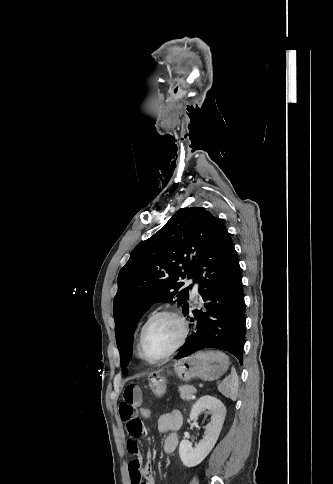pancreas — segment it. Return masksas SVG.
<instances>
[{
    "mask_svg": "<svg viewBox=\"0 0 333 484\" xmlns=\"http://www.w3.org/2000/svg\"><path fill=\"white\" fill-rule=\"evenodd\" d=\"M178 391L183 400H190L193 394L196 393V389L192 385H181L178 387Z\"/></svg>",
    "mask_w": 333,
    "mask_h": 484,
    "instance_id": "obj_1",
    "label": "pancreas"
}]
</instances>
